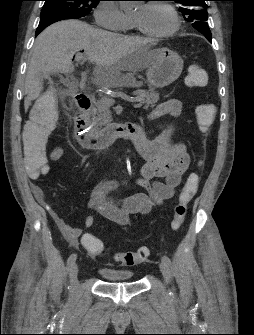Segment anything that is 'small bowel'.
<instances>
[{
    "label": "small bowel",
    "mask_w": 254,
    "mask_h": 335,
    "mask_svg": "<svg viewBox=\"0 0 254 335\" xmlns=\"http://www.w3.org/2000/svg\"><path fill=\"white\" fill-rule=\"evenodd\" d=\"M181 111V102L177 99H169L159 104L152 111L151 118L155 119L163 115L177 118ZM174 132L175 127L171 125L155 139L150 140L144 136L142 140L133 142L136 151L144 161L140 167L139 176L134 181L144 187L146 193H139L126 198L123 207L118 208L105 198V193L116 185V181H107L103 186H99L91 192L88 201L89 208L111 222L126 226L131 214H147L155 205L171 199L190 165V156L186 146L183 142L174 140ZM62 154V146L56 145L53 147L48 158H45L48 159V172L50 162L57 161ZM123 183H127V180H124ZM51 216L66 240L73 247H78L80 237L83 241L85 237L93 236L90 233L83 234L82 227L69 225L54 211H51ZM93 224L94 218L92 216L85 217V227H91ZM89 253L95 255L90 251Z\"/></svg>",
    "instance_id": "1"
}]
</instances>
